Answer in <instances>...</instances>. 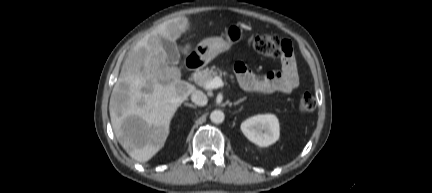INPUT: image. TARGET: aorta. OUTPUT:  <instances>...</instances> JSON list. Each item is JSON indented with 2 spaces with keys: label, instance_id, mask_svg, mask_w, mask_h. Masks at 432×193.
<instances>
[{
  "label": "aorta",
  "instance_id": "aorta-1",
  "mask_svg": "<svg viewBox=\"0 0 432 193\" xmlns=\"http://www.w3.org/2000/svg\"><path fill=\"white\" fill-rule=\"evenodd\" d=\"M225 115L221 110H214L210 114V120L215 124H220L224 121Z\"/></svg>",
  "mask_w": 432,
  "mask_h": 193
}]
</instances>
